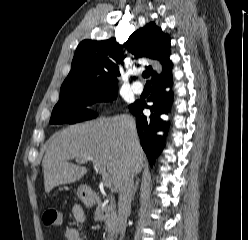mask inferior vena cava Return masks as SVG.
I'll return each mask as SVG.
<instances>
[{
	"mask_svg": "<svg viewBox=\"0 0 248 240\" xmlns=\"http://www.w3.org/2000/svg\"><path fill=\"white\" fill-rule=\"evenodd\" d=\"M134 184L132 170H128L122 178L119 186L118 199V227L120 240H123L126 230L127 217L131 209V197Z\"/></svg>",
	"mask_w": 248,
	"mask_h": 240,
	"instance_id": "obj_1",
	"label": "inferior vena cava"
}]
</instances>
